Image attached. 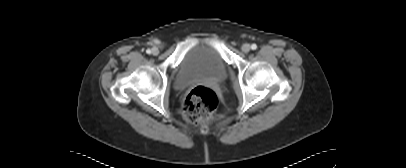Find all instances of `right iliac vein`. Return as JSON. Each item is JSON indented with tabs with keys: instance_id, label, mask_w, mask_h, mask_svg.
I'll use <instances>...</instances> for the list:
<instances>
[{
	"instance_id": "1",
	"label": "right iliac vein",
	"mask_w": 406,
	"mask_h": 168,
	"mask_svg": "<svg viewBox=\"0 0 406 168\" xmlns=\"http://www.w3.org/2000/svg\"><path fill=\"white\" fill-rule=\"evenodd\" d=\"M151 53H152L153 55H158V54H159V49H158L157 47H153V48L151 49Z\"/></svg>"
}]
</instances>
